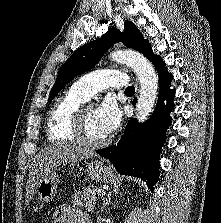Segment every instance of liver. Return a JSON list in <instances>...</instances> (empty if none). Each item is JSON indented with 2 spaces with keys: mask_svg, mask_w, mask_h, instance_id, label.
Returning <instances> with one entry per match:
<instances>
[{
  "mask_svg": "<svg viewBox=\"0 0 221 223\" xmlns=\"http://www.w3.org/2000/svg\"><path fill=\"white\" fill-rule=\"evenodd\" d=\"M92 156H94V153L89 149L60 142L42 149L36 154L29 171L26 204L28 205L33 198L38 182L45 174L62 164L88 159Z\"/></svg>",
  "mask_w": 221,
  "mask_h": 223,
  "instance_id": "obj_1",
  "label": "liver"
}]
</instances>
